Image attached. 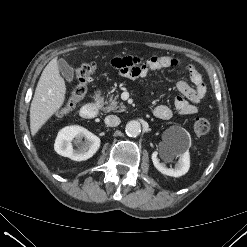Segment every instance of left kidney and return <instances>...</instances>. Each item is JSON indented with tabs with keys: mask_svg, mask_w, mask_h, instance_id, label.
I'll return each mask as SVG.
<instances>
[{
	"mask_svg": "<svg viewBox=\"0 0 247 247\" xmlns=\"http://www.w3.org/2000/svg\"><path fill=\"white\" fill-rule=\"evenodd\" d=\"M188 143H191L190 134L187 131H183ZM162 155L167 159L173 157H178V161L175 164V168H167L165 163H160L158 159V152L154 151L152 153L151 159L155 168L164 175L172 177H180L186 174L190 167V156L188 150H181L168 146L167 144H162Z\"/></svg>",
	"mask_w": 247,
	"mask_h": 247,
	"instance_id": "obj_1",
	"label": "left kidney"
}]
</instances>
